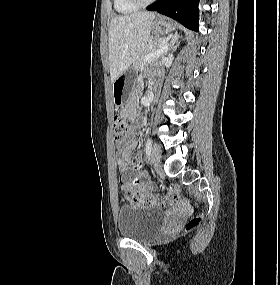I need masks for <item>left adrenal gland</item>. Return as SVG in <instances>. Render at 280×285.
<instances>
[{
  "label": "left adrenal gland",
  "instance_id": "1",
  "mask_svg": "<svg viewBox=\"0 0 280 285\" xmlns=\"http://www.w3.org/2000/svg\"><path fill=\"white\" fill-rule=\"evenodd\" d=\"M180 36L178 34L174 35L173 37H171L170 42H169V47L171 50H175V43L178 40Z\"/></svg>",
  "mask_w": 280,
  "mask_h": 285
}]
</instances>
